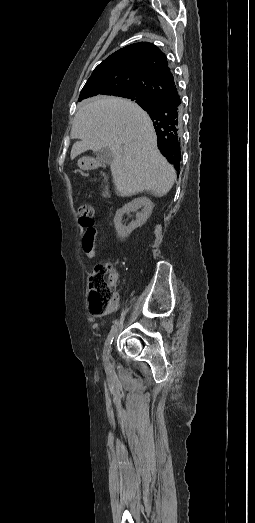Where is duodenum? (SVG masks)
I'll use <instances>...</instances> for the list:
<instances>
[{"instance_id": "duodenum-1", "label": "duodenum", "mask_w": 255, "mask_h": 523, "mask_svg": "<svg viewBox=\"0 0 255 523\" xmlns=\"http://www.w3.org/2000/svg\"><path fill=\"white\" fill-rule=\"evenodd\" d=\"M100 165V162L95 158H86L83 161V166L85 169L93 170Z\"/></svg>"}]
</instances>
